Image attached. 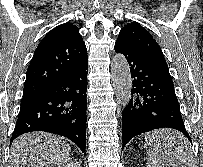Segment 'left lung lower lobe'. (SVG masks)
I'll return each instance as SVG.
<instances>
[{"mask_svg":"<svg viewBox=\"0 0 203 167\" xmlns=\"http://www.w3.org/2000/svg\"><path fill=\"white\" fill-rule=\"evenodd\" d=\"M115 51L130 65L132 98L122 113V148L135 136L158 128L185 129L168 66L153 61L118 42ZM180 146V145H179ZM187 147H181L186 150Z\"/></svg>","mask_w":203,"mask_h":167,"instance_id":"obj_1","label":"left lung lower lobe"}]
</instances>
